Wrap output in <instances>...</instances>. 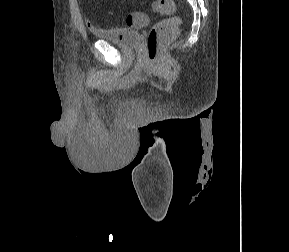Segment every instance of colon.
<instances>
[{"mask_svg":"<svg viewBox=\"0 0 289 252\" xmlns=\"http://www.w3.org/2000/svg\"><path fill=\"white\" fill-rule=\"evenodd\" d=\"M153 9L163 15H172L175 11V3L173 0H155ZM126 22L130 26L139 27L145 23V17L139 13H133L127 16ZM179 25V18L170 17L157 22L150 28L146 47L147 56L151 63L157 64L159 62L164 47L176 38Z\"/></svg>","mask_w":289,"mask_h":252,"instance_id":"colon-1","label":"colon"}]
</instances>
